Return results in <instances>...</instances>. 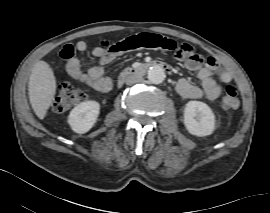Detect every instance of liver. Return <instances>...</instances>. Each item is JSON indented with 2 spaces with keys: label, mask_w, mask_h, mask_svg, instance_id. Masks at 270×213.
Returning <instances> with one entry per match:
<instances>
[{
  "label": "liver",
  "mask_w": 270,
  "mask_h": 213,
  "mask_svg": "<svg viewBox=\"0 0 270 213\" xmlns=\"http://www.w3.org/2000/svg\"><path fill=\"white\" fill-rule=\"evenodd\" d=\"M56 79L52 68L45 61H38L31 72L28 95L33 111L39 119H44L56 94Z\"/></svg>",
  "instance_id": "1"
}]
</instances>
